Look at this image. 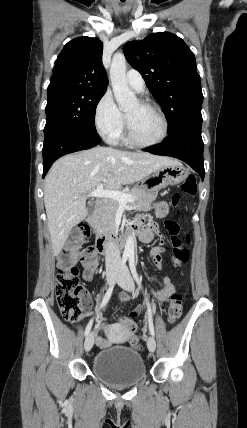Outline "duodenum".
I'll return each mask as SVG.
<instances>
[{
    "mask_svg": "<svg viewBox=\"0 0 247 428\" xmlns=\"http://www.w3.org/2000/svg\"><path fill=\"white\" fill-rule=\"evenodd\" d=\"M103 204L102 200L96 201V208H100ZM143 230V223L139 219H135L128 225H123L117 228L110 234H102L97 240V249L101 253H107L122 247L124 239L128 233H135L140 236Z\"/></svg>",
    "mask_w": 247,
    "mask_h": 428,
    "instance_id": "410a0bca",
    "label": "duodenum"
}]
</instances>
